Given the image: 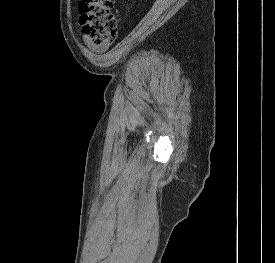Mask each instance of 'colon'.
<instances>
[{
    "label": "colon",
    "instance_id": "obj_1",
    "mask_svg": "<svg viewBox=\"0 0 275 263\" xmlns=\"http://www.w3.org/2000/svg\"><path fill=\"white\" fill-rule=\"evenodd\" d=\"M115 0H81L80 23L83 34L98 45L114 42L118 36V20L113 13Z\"/></svg>",
    "mask_w": 275,
    "mask_h": 263
}]
</instances>
